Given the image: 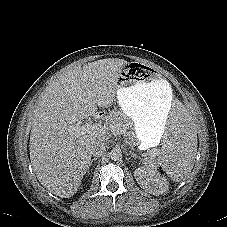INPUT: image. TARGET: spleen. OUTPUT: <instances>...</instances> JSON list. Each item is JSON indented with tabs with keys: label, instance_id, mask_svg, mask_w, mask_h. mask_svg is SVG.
<instances>
[{
	"label": "spleen",
	"instance_id": "obj_1",
	"mask_svg": "<svg viewBox=\"0 0 227 227\" xmlns=\"http://www.w3.org/2000/svg\"><path fill=\"white\" fill-rule=\"evenodd\" d=\"M196 154L197 133L189 118V110L183 104H176L170 110L162 150L145 151L140 165L149 174L164 170L173 181L180 182L193 169Z\"/></svg>",
	"mask_w": 227,
	"mask_h": 227
}]
</instances>
